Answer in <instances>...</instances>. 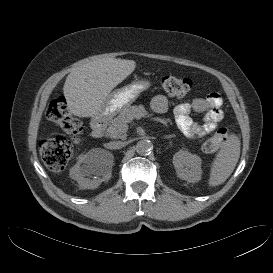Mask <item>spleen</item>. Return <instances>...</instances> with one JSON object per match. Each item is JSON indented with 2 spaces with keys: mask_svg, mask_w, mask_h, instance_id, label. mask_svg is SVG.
I'll use <instances>...</instances> for the list:
<instances>
[{
  "mask_svg": "<svg viewBox=\"0 0 273 273\" xmlns=\"http://www.w3.org/2000/svg\"><path fill=\"white\" fill-rule=\"evenodd\" d=\"M240 139L231 134L217 153L210 171L208 184L215 187L224 183L232 174L240 157Z\"/></svg>",
  "mask_w": 273,
  "mask_h": 273,
  "instance_id": "3e777b00",
  "label": "spleen"
}]
</instances>
